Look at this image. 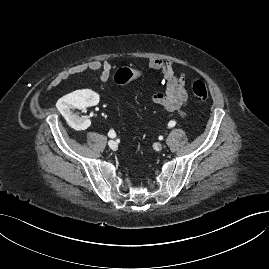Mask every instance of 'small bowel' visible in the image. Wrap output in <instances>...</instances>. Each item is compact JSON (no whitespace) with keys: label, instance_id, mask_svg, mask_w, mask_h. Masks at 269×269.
Here are the masks:
<instances>
[{"label":"small bowel","instance_id":"c3829d8e","mask_svg":"<svg viewBox=\"0 0 269 269\" xmlns=\"http://www.w3.org/2000/svg\"><path fill=\"white\" fill-rule=\"evenodd\" d=\"M147 65L160 73V81L165 87L164 92L155 93L150 96V102L160 108L185 116L184 107L188 103L185 76L176 69L175 63L171 60L158 58L147 59ZM79 72L96 71L103 82L111 79L113 67L109 61L90 60L77 66ZM135 78L141 75L140 70H134ZM66 71L59 73L48 84L47 88L52 89L58 86L66 77Z\"/></svg>","mask_w":269,"mask_h":269}]
</instances>
